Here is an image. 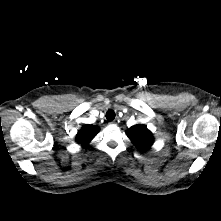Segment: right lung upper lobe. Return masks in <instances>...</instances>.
Listing matches in <instances>:
<instances>
[{
    "label": "right lung upper lobe",
    "instance_id": "cb5924a9",
    "mask_svg": "<svg viewBox=\"0 0 221 221\" xmlns=\"http://www.w3.org/2000/svg\"><path fill=\"white\" fill-rule=\"evenodd\" d=\"M99 132L98 126L84 125L76 135V141L81 144L83 148H86L89 142L96 136Z\"/></svg>",
    "mask_w": 221,
    "mask_h": 221
}]
</instances>
